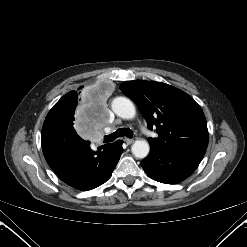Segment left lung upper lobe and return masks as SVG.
Masks as SVG:
<instances>
[{"instance_id":"5c2ea615","label":"left lung upper lobe","mask_w":247,"mask_h":247,"mask_svg":"<svg viewBox=\"0 0 247 247\" xmlns=\"http://www.w3.org/2000/svg\"><path fill=\"white\" fill-rule=\"evenodd\" d=\"M122 92L131 98L158 138L150 145L174 149L183 145L207 147L208 129L201 107L185 92L165 83L146 80L123 82Z\"/></svg>"}]
</instances>
